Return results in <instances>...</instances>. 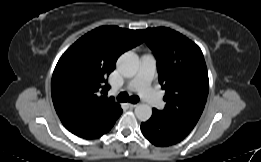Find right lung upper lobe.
<instances>
[{
    "mask_svg": "<svg viewBox=\"0 0 261 162\" xmlns=\"http://www.w3.org/2000/svg\"><path fill=\"white\" fill-rule=\"evenodd\" d=\"M138 30L96 28L77 40L59 59L51 81L52 100L63 125L73 134L93 139L108 132L122 109L106 77L118 57L141 44Z\"/></svg>",
    "mask_w": 261,
    "mask_h": 162,
    "instance_id": "obj_1",
    "label": "right lung upper lobe"
}]
</instances>
